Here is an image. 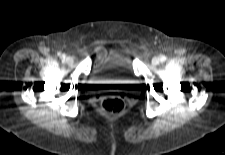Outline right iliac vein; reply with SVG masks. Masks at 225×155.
<instances>
[{"mask_svg":"<svg viewBox=\"0 0 225 155\" xmlns=\"http://www.w3.org/2000/svg\"><path fill=\"white\" fill-rule=\"evenodd\" d=\"M65 62H66L68 65H73V63H74V58L71 57V56H68V57H66Z\"/></svg>","mask_w":225,"mask_h":155,"instance_id":"1","label":"right iliac vein"}]
</instances>
